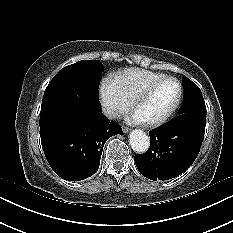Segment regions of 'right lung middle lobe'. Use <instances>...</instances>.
<instances>
[{"instance_id":"dd1d6c3e","label":"right lung middle lobe","mask_w":233,"mask_h":233,"mask_svg":"<svg viewBox=\"0 0 233 233\" xmlns=\"http://www.w3.org/2000/svg\"><path fill=\"white\" fill-rule=\"evenodd\" d=\"M103 65L83 60L60 70L47 86L41 105L40 129L56 122H74L82 100L99 101Z\"/></svg>"}]
</instances>
